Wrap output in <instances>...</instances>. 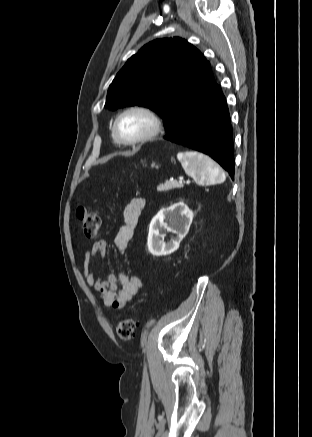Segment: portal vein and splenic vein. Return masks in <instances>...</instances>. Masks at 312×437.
I'll use <instances>...</instances> for the list:
<instances>
[{"instance_id":"obj_1","label":"portal vein and splenic vein","mask_w":312,"mask_h":437,"mask_svg":"<svg viewBox=\"0 0 312 437\" xmlns=\"http://www.w3.org/2000/svg\"><path fill=\"white\" fill-rule=\"evenodd\" d=\"M182 182H184V183H185V181H182V180H181V181H180V183H182ZM186 183H189V180H188V181H186Z\"/></svg>"}]
</instances>
